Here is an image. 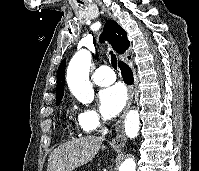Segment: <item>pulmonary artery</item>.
<instances>
[{
    "mask_svg": "<svg viewBox=\"0 0 199 171\" xmlns=\"http://www.w3.org/2000/svg\"><path fill=\"white\" fill-rule=\"evenodd\" d=\"M116 76L112 69L108 66H100L93 75V81L99 86H106L112 84Z\"/></svg>",
    "mask_w": 199,
    "mask_h": 171,
    "instance_id": "e3ab8cb5",
    "label": "pulmonary artery"
}]
</instances>
